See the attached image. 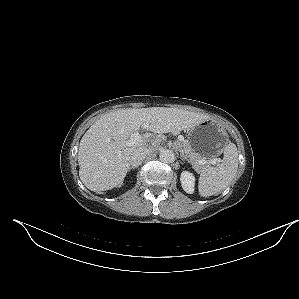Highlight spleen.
I'll return each mask as SVG.
<instances>
[{
	"mask_svg": "<svg viewBox=\"0 0 299 299\" xmlns=\"http://www.w3.org/2000/svg\"><path fill=\"white\" fill-rule=\"evenodd\" d=\"M238 168V152L234 143H229L223 160L217 167L206 166L200 174L198 190L201 196L208 197L221 193L233 180Z\"/></svg>",
	"mask_w": 299,
	"mask_h": 299,
	"instance_id": "obj_1",
	"label": "spleen"
}]
</instances>
